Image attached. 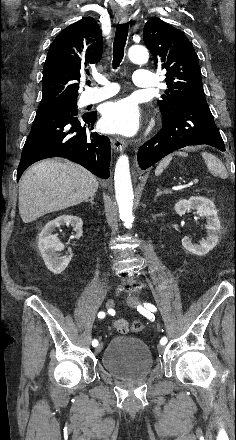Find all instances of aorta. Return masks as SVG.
<instances>
[{"label": "aorta", "instance_id": "aorta-1", "mask_svg": "<svg viewBox=\"0 0 236 440\" xmlns=\"http://www.w3.org/2000/svg\"><path fill=\"white\" fill-rule=\"evenodd\" d=\"M128 58L135 64H144L148 61L149 53L144 46L134 45L128 50ZM114 182L120 218L126 228H131L134 221L132 212L134 194L130 176L129 159L126 155H121L117 160Z\"/></svg>", "mask_w": 236, "mask_h": 440}]
</instances>
